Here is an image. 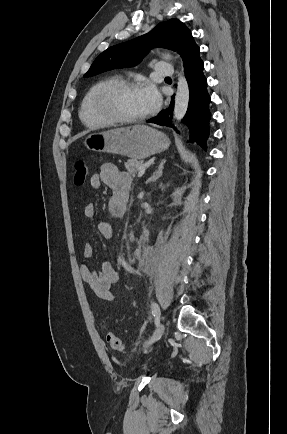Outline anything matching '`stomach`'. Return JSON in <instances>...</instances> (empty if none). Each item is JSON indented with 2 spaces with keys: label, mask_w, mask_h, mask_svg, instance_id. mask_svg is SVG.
<instances>
[{
  "label": "stomach",
  "mask_w": 287,
  "mask_h": 434,
  "mask_svg": "<svg viewBox=\"0 0 287 434\" xmlns=\"http://www.w3.org/2000/svg\"><path fill=\"white\" fill-rule=\"evenodd\" d=\"M83 143L91 151L119 154L138 160L165 151L170 140L156 129L136 125L89 134Z\"/></svg>",
  "instance_id": "0dacf381"
}]
</instances>
